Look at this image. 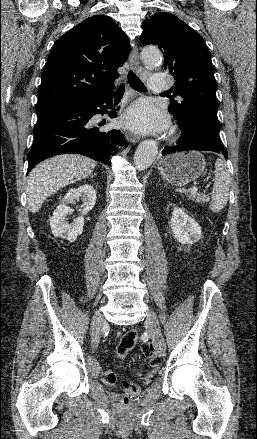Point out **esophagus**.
<instances>
[{
	"label": "esophagus",
	"instance_id": "esophagus-1",
	"mask_svg": "<svg viewBox=\"0 0 257 439\" xmlns=\"http://www.w3.org/2000/svg\"><path fill=\"white\" fill-rule=\"evenodd\" d=\"M129 63L133 70L138 71L139 69V55H138V49L137 47H133L130 56H129ZM125 137L129 142L135 143L140 140V137L132 132H125Z\"/></svg>",
	"mask_w": 257,
	"mask_h": 439
}]
</instances>
